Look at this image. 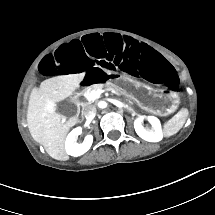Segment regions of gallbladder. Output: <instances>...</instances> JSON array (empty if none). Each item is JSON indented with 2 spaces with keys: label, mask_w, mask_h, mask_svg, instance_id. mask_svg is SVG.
I'll use <instances>...</instances> for the list:
<instances>
[{
  "label": "gallbladder",
  "mask_w": 215,
  "mask_h": 215,
  "mask_svg": "<svg viewBox=\"0 0 215 215\" xmlns=\"http://www.w3.org/2000/svg\"><path fill=\"white\" fill-rule=\"evenodd\" d=\"M59 113L66 117H72L76 114V104L72 101L64 100L59 104Z\"/></svg>",
  "instance_id": "obj_1"
}]
</instances>
